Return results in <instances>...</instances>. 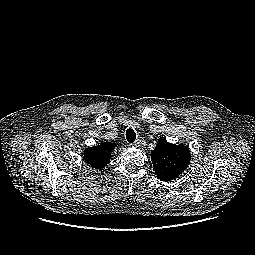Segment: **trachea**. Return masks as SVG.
Segmentation results:
<instances>
[{
	"mask_svg": "<svg viewBox=\"0 0 255 255\" xmlns=\"http://www.w3.org/2000/svg\"><path fill=\"white\" fill-rule=\"evenodd\" d=\"M126 139L129 143H133L136 140V133L132 128L126 130Z\"/></svg>",
	"mask_w": 255,
	"mask_h": 255,
	"instance_id": "obj_1",
	"label": "trachea"
}]
</instances>
